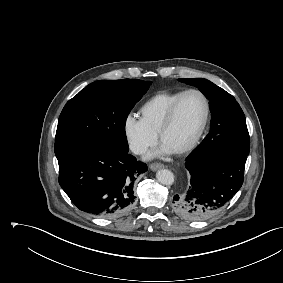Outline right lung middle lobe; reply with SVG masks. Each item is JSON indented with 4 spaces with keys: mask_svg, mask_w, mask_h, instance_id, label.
Instances as JSON below:
<instances>
[{
    "mask_svg": "<svg viewBox=\"0 0 283 283\" xmlns=\"http://www.w3.org/2000/svg\"><path fill=\"white\" fill-rule=\"evenodd\" d=\"M150 84L137 79L101 80L81 90L60 114L55 138L57 159L93 144L128 151L126 119Z\"/></svg>",
    "mask_w": 283,
    "mask_h": 283,
    "instance_id": "obj_1",
    "label": "right lung middle lobe"
}]
</instances>
